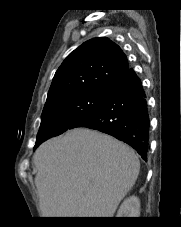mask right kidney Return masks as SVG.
Here are the masks:
<instances>
[{"label": "right kidney", "mask_w": 181, "mask_h": 227, "mask_svg": "<svg viewBox=\"0 0 181 227\" xmlns=\"http://www.w3.org/2000/svg\"><path fill=\"white\" fill-rule=\"evenodd\" d=\"M140 200L136 196H131L123 201L116 217H139Z\"/></svg>", "instance_id": "right-kidney-1"}]
</instances>
